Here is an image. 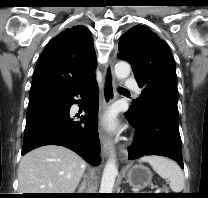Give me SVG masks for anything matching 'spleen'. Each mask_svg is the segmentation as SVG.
Returning a JSON list of instances; mask_svg holds the SVG:
<instances>
[{
    "label": "spleen",
    "instance_id": "1",
    "mask_svg": "<svg viewBox=\"0 0 208 198\" xmlns=\"http://www.w3.org/2000/svg\"><path fill=\"white\" fill-rule=\"evenodd\" d=\"M141 160L148 162L160 177L167 179L174 193H180L183 190L184 175L174 161L160 156H145Z\"/></svg>",
    "mask_w": 208,
    "mask_h": 198
}]
</instances>
